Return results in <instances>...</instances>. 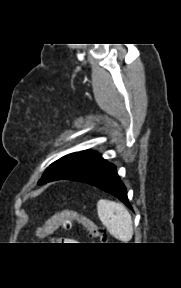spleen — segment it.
I'll return each mask as SVG.
<instances>
[{"label": "spleen", "instance_id": "3e777b00", "mask_svg": "<svg viewBox=\"0 0 181 288\" xmlns=\"http://www.w3.org/2000/svg\"><path fill=\"white\" fill-rule=\"evenodd\" d=\"M98 216L109 233L120 241H130L133 236V222L128 210L120 203L100 199L97 203Z\"/></svg>", "mask_w": 181, "mask_h": 288}]
</instances>
